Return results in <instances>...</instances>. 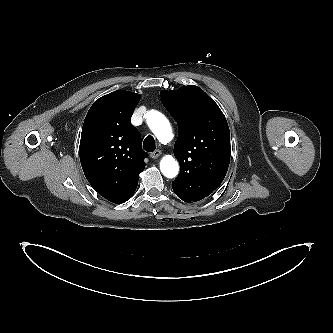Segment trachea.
I'll list each match as a JSON object with an SVG mask.
<instances>
[{
  "instance_id": "1",
  "label": "trachea",
  "mask_w": 333,
  "mask_h": 333,
  "mask_svg": "<svg viewBox=\"0 0 333 333\" xmlns=\"http://www.w3.org/2000/svg\"><path fill=\"white\" fill-rule=\"evenodd\" d=\"M143 149L148 152H153L156 149L154 138L151 135L145 138L143 143Z\"/></svg>"
}]
</instances>
